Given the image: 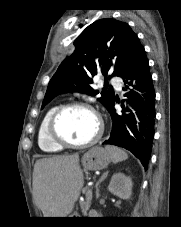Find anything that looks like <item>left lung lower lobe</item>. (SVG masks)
Instances as JSON below:
<instances>
[{
    "mask_svg": "<svg viewBox=\"0 0 181 227\" xmlns=\"http://www.w3.org/2000/svg\"><path fill=\"white\" fill-rule=\"evenodd\" d=\"M121 77L129 89L122 103V113H117L115 100L107 108L112 121V131L103 144H112L131 151L147 169L154 137L155 92L149 62L144 47L138 43L129 58Z\"/></svg>",
    "mask_w": 181,
    "mask_h": 227,
    "instance_id": "0a47b994",
    "label": "left lung lower lobe"
}]
</instances>
